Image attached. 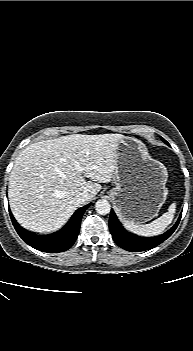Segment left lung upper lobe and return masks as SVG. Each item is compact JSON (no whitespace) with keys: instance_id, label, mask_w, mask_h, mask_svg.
Masks as SVG:
<instances>
[{"instance_id":"5c2ea615","label":"left lung upper lobe","mask_w":193,"mask_h":351,"mask_svg":"<svg viewBox=\"0 0 193 351\" xmlns=\"http://www.w3.org/2000/svg\"><path fill=\"white\" fill-rule=\"evenodd\" d=\"M162 140H163L166 144H168L163 138H162Z\"/></svg>"}]
</instances>
